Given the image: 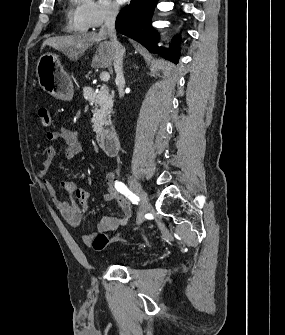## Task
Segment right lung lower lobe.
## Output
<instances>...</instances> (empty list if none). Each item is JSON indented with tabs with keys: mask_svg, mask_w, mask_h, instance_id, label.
<instances>
[{
	"mask_svg": "<svg viewBox=\"0 0 285 335\" xmlns=\"http://www.w3.org/2000/svg\"><path fill=\"white\" fill-rule=\"evenodd\" d=\"M158 0H131L116 18V29L144 45L151 52L160 51L156 46L157 33L151 26V17ZM180 38L175 39L174 44L168 51H163V56L174 63L178 62L179 51L176 43Z\"/></svg>",
	"mask_w": 285,
	"mask_h": 335,
	"instance_id": "right-lung-lower-lobe-1",
	"label": "right lung lower lobe"
}]
</instances>
